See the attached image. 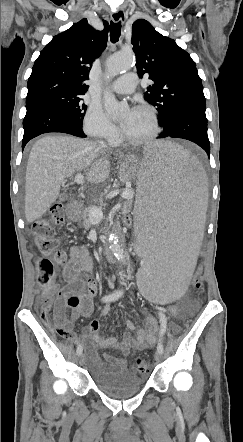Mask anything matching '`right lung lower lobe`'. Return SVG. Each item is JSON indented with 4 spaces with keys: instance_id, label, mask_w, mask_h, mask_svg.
Masks as SVG:
<instances>
[{
    "instance_id": "right-lung-lower-lobe-1",
    "label": "right lung lower lobe",
    "mask_w": 243,
    "mask_h": 442,
    "mask_svg": "<svg viewBox=\"0 0 243 442\" xmlns=\"http://www.w3.org/2000/svg\"><path fill=\"white\" fill-rule=\"evenodd\" d=\"M26 109L22 148L32 138L43 133L61 132L86 137L82 131V124L58 102L40 98L29 99L26 100Z\"/></svg>"
}]
</instances>
